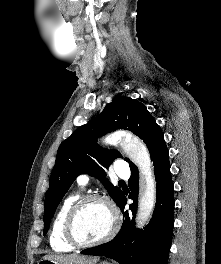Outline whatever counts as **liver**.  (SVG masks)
Wrapping results in <instances>:
<instances>
[{
  "label": "liver",
  "instance_id": "obj_1",
  "mask_svg": "<svg viewBox=\"0 0 221 264\" xmlns=\"http://www.w3.org/2000/svg\"><path fill=\"white\" fill-rule=\"evenodd\" d=\"M43 259L55 260L61 264H96L98 257L72 255H45Z\"/></svg>",
  "mask_w": 221,
  "mask_h": 264
}]
</instances>
